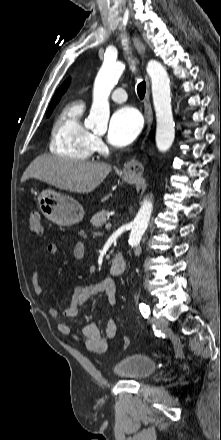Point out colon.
<instances>
[{
  "label": "colon",
  "mask_w": 221,
  "mask_h": 440,
  "mask_svg": "<svg viewBox=\"0 0 221 440\" xmlns=\"http://www.w3.org/2000/svg\"><path fill=\"white\" fill-rule=\"evenodd\" d=\"M28 227L30 231H32L35 234H42L43 233V224H42V218L41 214L37 211H33L28 218ZM122 345L124 348H127L129 346V338L127 336H124L122 339Z\"/></svg>",
  "instance_id": "obj_1"
}]
</instances>
